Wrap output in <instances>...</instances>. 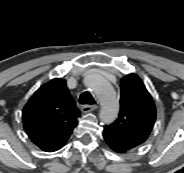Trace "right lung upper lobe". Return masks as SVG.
I'll return each instance as SVG.
<instances>
[{
    "instance_id": "right-lung-upper-lobe-1",
    "label": "right lung upper lobe",
    "mask_w": 184,
    "mask_h": 173,
    "mask_svg": "<svg viewBox=\"0 0 184 173\" xmlns=\"http://www.w3.org/2000/svg\"><path fill=\"white\" fill-rule=\"evenodd\" d=\"M76 108L66 81L56 78L41 86L23 109V124L29 138L43 151L61 149L77 125Z\"/></svg>"
}]
</instances>
